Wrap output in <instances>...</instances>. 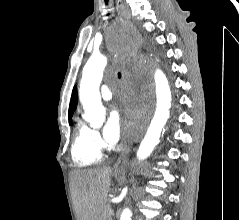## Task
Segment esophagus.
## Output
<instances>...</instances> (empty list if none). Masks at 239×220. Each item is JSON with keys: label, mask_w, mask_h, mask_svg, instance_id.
Wrapping results in <instances>:
<instances>
[{"label": "esophagus", "mask_w": 239, "mask_h": 220, "mask_svg": "<svg viewBox=\"0 0 239 220\" xmlns=\"http://www.w3.org/2000/svg\"><path fill=\"white\" fill-rule=\"evenodd\" d=\"M116 5L121 14H126V9L124 7V4L122 0H116ZM130 152V148L126 147L122 155L119 157L117 162L114 164V170H121L124 168L126 162H127V155Z\"/></svg>", "instance_id": "obj_1"}]
</instances>
